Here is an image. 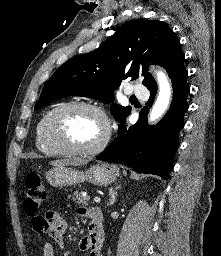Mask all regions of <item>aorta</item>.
<instances>
[{
	"label": "aorta",
	"instance_id": "1",
	"mask_svg": "<svg viewBox=\"0 0 221 256\" xmlns=\"http://www.w3.org/2000/svg\"><path fill=\"white\" fill-rule=\"evenodd\" d=\"M156 75L158 80L159 93L150 112V123L158 120L165 113L169 107L172 95V88L168 77L162 71H158Z\"/></svg>",
	"mask_w": 221,
	"mask_h": 256
}]
</instances>
